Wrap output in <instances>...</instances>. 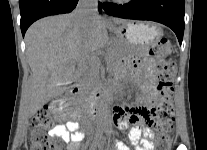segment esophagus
Listing matches in <instances>:
<instances>
[{"label": "esophagus", "mask_w": 207, "mask_h": 150, "mask_svg": "<svg viewBox=\"0 0 207 150\" xmlns=\"http://www.w3.org/2000/svg\"><path fill=\"white\" fill-rule=\"evenodd\" d=\"M104 20H105L106 22H109V21H110V18H109L107 15H104Z\"/></svg>", "instance_id": "esophagus-1"}]
</instances>
